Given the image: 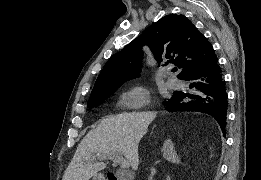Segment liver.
I'll return each instance as SVG.
<instances>
[{
  "mask_svg": "<svg viewBox=\"0 0 261 180\" xmlns=\"http://www.w3.org/2000/svg\"><path fill=\"white\" fill-rule=\"evenodd\" d=\"M154 118L153 112H123L106 116L80 142L69 166L68 180H90L106 168V164L97 162L98 158L112 156L114 152H121L132 170H138V146Z\"/></svg>",
  "mask_w": 261,
  "mask_h": 180,
  "instance_id": "liver-1",
  "label": "liver"
}]
</instances>
